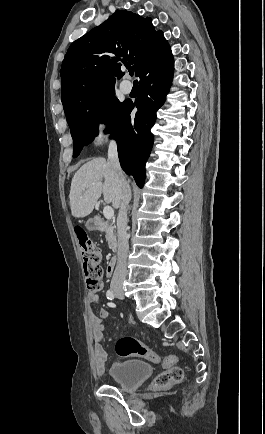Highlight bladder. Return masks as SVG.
Instances as JSON below:
<instances>
[{
    "instance_id": "31cf9c89",
    "label": "bladder",
    "mask_w": 265,
    "mask_h": 434,
    "mask_svg": "<svg viewBox=\"0 0 265 434\" xmlns=\"http://www.w3.org/2000/svg\"><path fill=\"white\" fill-rule=\"evenodd\" d=\"M151 374L152 367L140 360L116 362L109 369V376L125 392L137 390Z\"/></svg>"
}]
</instances>
